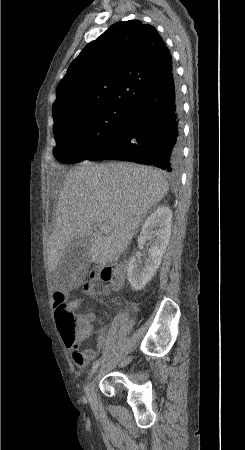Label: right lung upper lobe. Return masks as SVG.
Masks as SVG:
<instances>
[{"mask_svg": "<svg viewBox=\"0 0 245 450\" xmlns=\"http://www.w3.org/2000/svg\"><path fill=\"white\" fill-rule=\"evenodd\" d=\"M172 70L170 52L153 26L115 23L70 64L57 86L53 114L131 106Z\"/></svg>", "mask_w": 245, "mask_h": 450, "instance_id": "right-lung-upper-lobe-1", "label": "right lung upper lobe"}]
</instances>
